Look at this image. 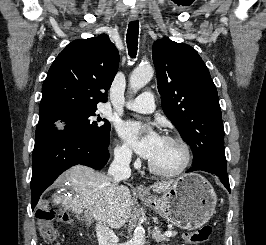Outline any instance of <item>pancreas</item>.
Here are the masks:
<instances>
[{
    "mask_svg": "<svg viewBox=\"0 0 266 245\" xmlns=\"http://www.w3.org/2000/svg\"><path fill=\"white\" fill-rule=\"evenodd\" d=\"M173 235H177L176 231H173Z\"/></svg>",
    "mask_w": 266,
    "mask_h": 245,
    "instance_id": "pancreas-1",
    "label": "pancreas"
}]
</instances>
